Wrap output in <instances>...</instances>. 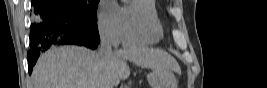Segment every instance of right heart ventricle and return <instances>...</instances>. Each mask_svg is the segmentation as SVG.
<instances>
[{"mask_svg": "<svg viewBox=\"0 0 267 88\" xmlns=\"http://www.w3.org/2000/svg\"><path fill=\"white\" fill-rule=\"evenodd\" d=\"M126 46L153 45L164 35L154 0H134L122 8Z\"/></svg>", "mask_w": 267, "mask_h": 88, "instance_id": "e07e8e85", "label": "right heart ventricle"}]
</instances>
